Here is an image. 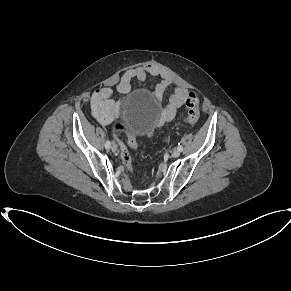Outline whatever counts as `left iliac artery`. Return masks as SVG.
Listing matches in <instances>:
<instances>
[{
    "mask_svg": "<svg viewBox=\"0 0 291 291\" xmlns=\"http://www.w3.org/2000/svg\"><path fill=\"white\" fill-rule=\"evenodd\" d=\"M177 149L181 152L183 150V146L179 143V146Z\"/></svg>",
    "mask_w": 291,
    "mask_h": 291,
    "instance_id": "left-iliac-artery-1",
    "label": "left iliac artery"
}]
</instances>
